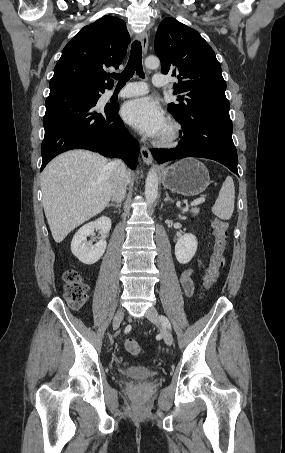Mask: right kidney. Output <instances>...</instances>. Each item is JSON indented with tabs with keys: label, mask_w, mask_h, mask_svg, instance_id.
I'll return each mask as SVG.
<instances>
[{
	"label": "right kidney",
	"mask_w": 285,
	"mask_h": 453,
	"mask_svg": "<svg viewBox=\"0 0 285 453\" xmlns=\"http://www.w3.org/2000/svg\"><path fill=\"white\" fill-rule=\"evenodd\" d=\"M95 229H99L102 238L95 244L92 245L87 242V237L94 233ZM111 229V219L102 216L96 221L89 222L82 226L74 235L71 242V251L79 261L84 264L92 265L96 263L104 254L107 243L104 236Z\"/></svg>",
	"instance_id": "1"
}]
</instances>
